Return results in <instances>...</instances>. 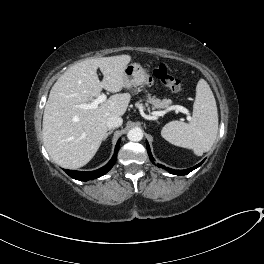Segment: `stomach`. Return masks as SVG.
Returning a JSON list of instances; mask_svg holds the SVG:
<instances>
[{"mask_svg": "<svg viewBox=\"0 0 264 264\" xmlns=\"http://www.w3.org/2000/svg\"><path fill=\"white\" fill-rule=\"evenodd\" d=\"M147 82V71L139 63H132L125 67L124 84L126 88L136 89Z\"/></svg>", "mask_w": 264, "mask_h": 264, "instance_id": "obj_1", "label": "stomach"}]
</instances>
